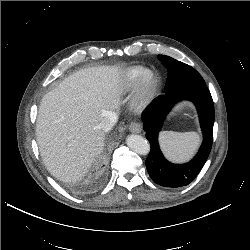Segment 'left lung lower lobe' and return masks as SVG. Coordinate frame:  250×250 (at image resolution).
Here are the masks:
<instances>
[{
	"mask_svg": "<svg viewBox=\"0 0 250 250\" xmlns=\"http://www.w3.org/2000/svg\"><path fill=\"white\" fill-rule=\"evenodd\" d=\"M181 100H190L195 104L203 133V142L190 162L173 164L163 156L158 143V134L168 112L176 102ZM142 121L151 148L145 162L151 179L158 185L171 188L191 183L204 166L212 147L214 105L207 86L205 84L193 85L157 97L142 113Z\"/></svg>",
	"mask_w": 250,
	"mask_h": 250,
	"instance_id": "1",
	"label": "left lung lower lobe"
}]
</instances>
